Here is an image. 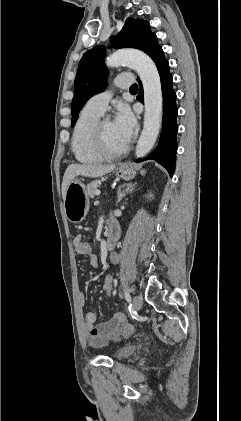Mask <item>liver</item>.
I'll list each match as a JSON object with an SVG mask.
<instances>
[{
  "instance_id": "liver-1",
  "label": "liver",
  "mask_w": 241,
  "mask_h": 421,
  "mask_svg": "<svg viewBox=\"0 0 241 421\" xmlns=\"http://www.w3.org/2000/svg\"><path fill=\"white\" fill-rule=\"evenodd\" d=\"M115 169L114 164L110 165H92V164H71L67 167L62 181V198L64 200L69 184L77 177L84 176L88 178L101 177Z\"/></svg>"
}]
</instances>
